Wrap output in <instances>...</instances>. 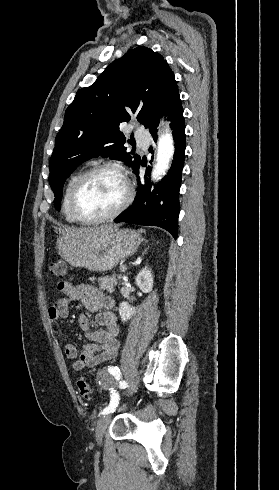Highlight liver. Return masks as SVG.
Here are the masks:
<instances>
[{
  "label": "liver",
  "mask_w": 279,
  "mask_h": 490,
  "mask_svg": "<svg viewBox=\"0 0 279 490\" xmlns=\"http://www.w3.org/2000/svg\"><path fill=\"white\" fill-rule=\"evenodd\" d=\"M118 226H99V228H67V230H61L56 228L58 232H61L62 236L72 238V240H78V238H86V236H92V234H107L109 230H117Z\"/></svg>",
  "instance_id": "liver-1"
}]
</instances>
